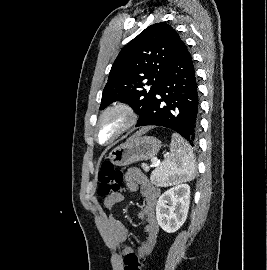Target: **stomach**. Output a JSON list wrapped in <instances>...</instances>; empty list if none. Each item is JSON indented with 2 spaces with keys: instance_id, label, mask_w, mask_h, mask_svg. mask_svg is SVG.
Returning a JSON list of instances; mask_svg holds the SVG:
<instances>
[{
  "instance_id": "obj_1",
  "label": "stomach",
  "mask_w": 267,
  "mask_h": 270,
  "mask_svg": "<svg viewBox=\"0 0 267 270\" xmlns=\"http://www.w3.org/2000/svg\"><path fill=\"white\" fill-rule=\"evenodd\" d=\"M160 148L161 141L156 137L139 136L114 148L109 154V159L116 166H126L155 157Z\"/></svg>"
}]
</instances>
